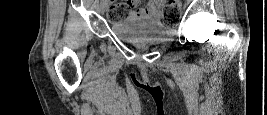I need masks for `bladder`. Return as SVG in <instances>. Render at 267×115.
I'll list each match as a JSON object with an SVG mask.
<instances>
[{
    "mask_svg": "<svg viewBox=\"0 0 267 115\" xmlns=\"http://www.w3.org/2000/svg\"><path fill=\"white\" fill-rule=\"evenodd\" d=\"M158 17L130 15L121 22L113 23L112 31L126 42H154L166 38L169 31L157 22Z\"/></svg>",
    "mask_w": 267,
    "mask_h": 115,
    "instance_id": "31cf9c89",
    "label": "bladder"
}]
</instances>
